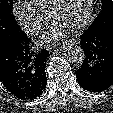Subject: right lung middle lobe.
Masks as SVG:
<instances>
[{
    "instance_id": "1",
    "label": "right lung middle lobe",
    "mask_w": 113,
    "mask_h": 113,
    "mask_svg": "<svg viewBox=\"0 0 113 113\" xmlns=\"http://www.w3.org/2000/svg\"><path fill=\"white\" fill-rule=\"evenodd\" d=\"M13 0H0V41L21 31L13 14Z\"/></svg>"
}]
</instances>
